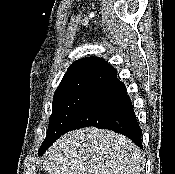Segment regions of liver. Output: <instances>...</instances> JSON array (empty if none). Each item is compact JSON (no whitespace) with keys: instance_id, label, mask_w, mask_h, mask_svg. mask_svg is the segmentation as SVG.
<instances>
[{"instance_id":"liver-1","label":"liver","mask_w":175,"mask_h":174,"mask_svg":"<svg viewBox=\"0 0 175 174\" xmlns=\"http://www.w3.org/2000/svg\"><path fill=\"white\" fill-rule=\"evenodd\" d=\"M145 159L129 138L86 127L60 137L46 152L49 174H140Z\"/></svg>"}]
</instances>
